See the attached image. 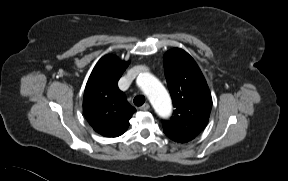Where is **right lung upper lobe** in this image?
<instances>
[{"mask_svg":"<svg viewBox=\"0 0 288 181\" xmlns=\"http://www.w3.org/2000/svg\"><path fill=\"white\" fill-rule=\"evenodd\" d=\"M129 65L116 56L99 60L86 84L83 111L93 129L106 137L122 135L136 111L118 88V80Z\"/></svg>","mask_w":288,"mask_h":181,"instance_id":"right-lung-upper-lobe-1","label":"right lung upper lobe"}]
</instances>
